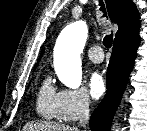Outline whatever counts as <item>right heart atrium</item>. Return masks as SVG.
<instances>
[{
	"instance_id": "1",
	"label": "right heart atrium",
	"mask_w": 147,
	"mask_h": 131,
	"mask_svg": "<svg viewBox=\"0 0 147 131\" xmlns=\"http://www.w3.org/2000/svg\"><path fill=\"white\" fill-rule=\"evenodd\" d=\"M90 103V98L83 88L63 89L57 97V119L74 122L89 112Z\"/></svg>"
}]
</instances>
